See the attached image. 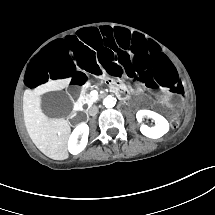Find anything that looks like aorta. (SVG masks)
Here are the masks:
<instances>
[{"mask_svg":"<svg viewBox=\"0 0 215 215\" xmlns=\"http://www.w3.org/2000/svg\"><path fill=\"white\" fill-rule=\"evenodd\" d=\"M116 104V99L112 96H107L106 98L103 99V105L106 108H112Z\"/></svg>","mask_w":215,"mask_h":215,"instance_id":"obj_1","label":"aorta"}]
</instances>
